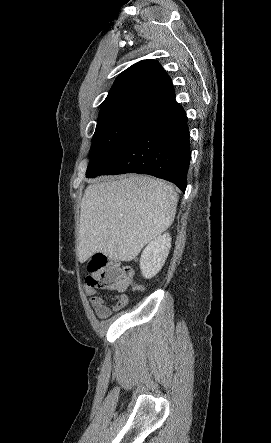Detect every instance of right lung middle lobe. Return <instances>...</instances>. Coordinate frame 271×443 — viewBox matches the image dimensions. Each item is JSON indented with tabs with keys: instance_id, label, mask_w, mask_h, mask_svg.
I'll list each match as a JSON object with an SVG mask.
<instances>
[{
	"instance_id": "right-lung-middle-lobe-1",
	"label": "right lung middle lobe",
	"mask_w": 271,
	"mask_h": 443,
	"mask_svg": "<svg viewBox=\"0 0 271 443\" xmlns=\"http://www.w3.org/2000/svg\"><path fill=\"white\" fill-rule=\"evenodd\" d=\"M152 106L151 103L138 100L101 105L86 176L96 173L107 164L129 130Z\"/></svg>"
}]
</instances>
